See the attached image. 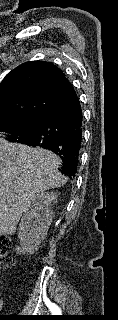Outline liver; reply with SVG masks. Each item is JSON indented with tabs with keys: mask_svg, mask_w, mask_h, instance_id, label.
<instances>
[{
	"mask_svg": "<svg viewBox=\"0 0 118 320\" xmlns=\"http://www.w3.org/2000/svg\"><path fill=\"white\" fill-rule=\"evenodd\" d=\"M60 163L49 150L0 138V227L14 225L38 195L67 182Z\"/></svg>",
	"mask_w": 118,
	"mask_h": 320,
	"instance_id": "6515ba94",
	"label": "liver"
}]
</instances>
